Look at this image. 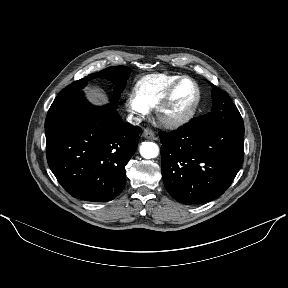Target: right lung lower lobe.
I'll list each match as a JSON object with an SVG mask.
<instances>
[{
  "instance_id": "obj_1",
  "label": "right lung lower lobe",
  "mask_w": 288,
  "mask_h": 288,
  "mask_svg": "<svg viewBox=\"0 0 288 288\" xmlns=\"http://www.w3.org/2000/svg\"><path fill=\"white\" fill-rule=\"evenodd\" d=\"M117 106H93L79 91L51 105L46 121L48 165L73 197L113 200L126 183L125 166L141 128L123 122Z\"/></svg>"
}]
</instances>
